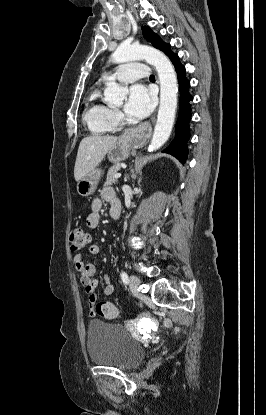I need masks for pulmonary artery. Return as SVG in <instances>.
<instances>
[{"instance_id":"e3ab8cb5","label":"pulmonary artery","mask_w":266,"mask_h":415,"mask_svg":"<svg viewBox=\"0 0 266 415\" xmlns=\"http://www.w3.org/2000/svg\"><path fill=\"white\" fill-rule=\"evenodd\" d=\"M148 76V67L138 62L123 64L115 72V77L121 82H132Z\"/></svg>"}]
</instances>
